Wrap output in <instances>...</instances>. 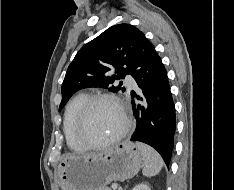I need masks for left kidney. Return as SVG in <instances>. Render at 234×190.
I'll return each instance as SVG.
<instances>
[{
    "label": "left kidney",
    "mask_w": 234,
    "mask_h": 190,
    "mask_svg": "<svg viewBox=\"0 0 234 190\" xmlns=\"http://www.w3.org/2000/svg\"><path fill=\"white\" fill-rule=\"evenodd\" d=\"M132 190H150L149 186L145 183L136 185Z\"/></svg>",
    "instance_id": "left-kidney-1"
}]
</instances>
